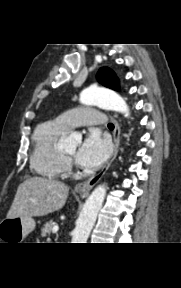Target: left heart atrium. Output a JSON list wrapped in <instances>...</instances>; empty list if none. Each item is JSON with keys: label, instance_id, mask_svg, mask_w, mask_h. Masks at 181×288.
<instances>
[{"label": "left heart atrium", "instance_id": "obj_1", "mask_svg": "<svg viewBox=\"0 0 181 288\" xmlns=\"http://www.w3.org/2000/svg\"><path fill=\"white\" fill-rule=\"evenodd\" d=\"M109 141L98 131H90L76 153V161L82 167L93 169L100 166L110 154Z\"/></svg>", "mask_w": 181, "mask_h": 288}]
</instances>
